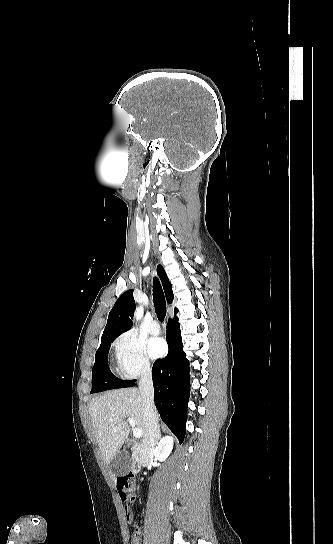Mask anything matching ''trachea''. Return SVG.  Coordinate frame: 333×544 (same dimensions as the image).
<instances>
[{
	"instance_id": "3493384b",
	"label": "trachea",
	"mask_w": 333,
	"mask_h": 544,
	"mask_svg": "<svg viewBox=\"0 0 333 544\" xmlns=\"http://www.w3.org/2000/svg\"><path fill=\"white\" fill-rule=\"evenodd\" d=\"M153 302H154L156 315L159 321L163 322L166 316V301H165L163 290L157 278H154Z\"/></svg>"
}]
</instances>
